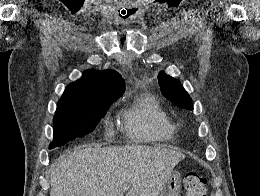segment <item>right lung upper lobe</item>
<instances>
[{
    "label": "right lung upper lobe",
    "instance_id": "obj_1",
    "mask_svg": "<svg viewBox=\"0 0 260 196\" xmlns=\"http://www.w3.org/2000/svg\"><path fill=\"white\" fill-rule=\"evenodd\" d=\"M124 90V80L116 71L87 70L66 87L58 106L111 105Z\"/></svg>",
    "mask_w": 260,
    "mask_h": 196
}]
</instances>
